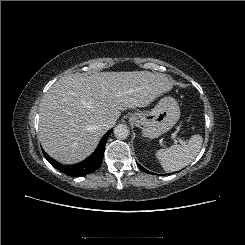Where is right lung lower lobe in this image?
<instances>
[{
  "mask_svg": "<svg viewBox=\"0 0 245 245\" xmlns=\"http://www.w3.org/2000/svg\"><path fill=\"white\" fill-rule=\"evenodd\" d=\"M111 130L108 131L103 138L101 139L97 149L95 152L85 161L74 165V166H66L58 163L55 161L53 158H51L48 154H46L43 151V154L45 158L50 162V164L55 167L56 169L60 170L61 172L65 173L66 175L69 176H84L86 174H89L95 170H97L103 159V154L105 150V144L108 139V136L110 134Z\"/></svg>",
  "mask_w": 245,
  "mask_h": 245,
  "instance_id": "right-lung-lower-lobe-1",
  "label": "right lung lower lobe"
}]
</instances>
